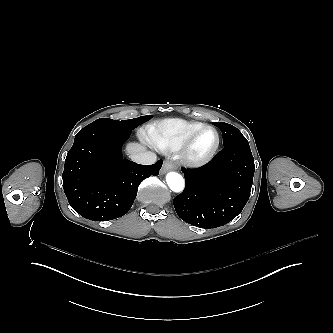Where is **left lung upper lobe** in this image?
Segmentation results:
<instances>
[{"label":"left lung upper lobe","instance_id":"5c2ea615","mask_svg":"<svg viewBox=\"0 0 333 333\" xmlns=\"http://www.w3.org/2000/svg\"><path fill=\"white\" fill-rule=\"evenodd\" d=\"M213 125L220 128L223 134V145L227 146L230 143L239 141V140H245L246 138L242 135V133L234 126L227 124V123H221V122H214Z\"/></svg>","mask_w":333,"mask_h":333}]
</instances>
